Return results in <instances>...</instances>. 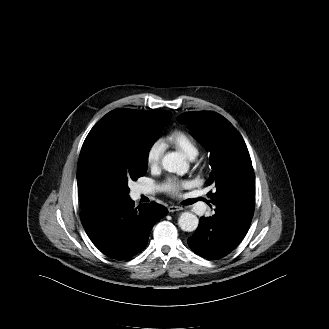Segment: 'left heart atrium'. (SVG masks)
<instances>
[{
	"label": "left heart atrium",
	"mask_w": 329,
	"mask_h": 329,
	"mask_svg": "<svg viewBox=\"0 0 329 329\" xmlns=\"http://www.w3.org/2000/svg\"><path fill=\"white\" fill-rule=\"evenodd\" d=\"M187 185V182L169 178L164 182L163 187L169 194L178 195L180 191Z\"/></svg>",
	"instance_id": "39dd6f15"
}]
</instances>
